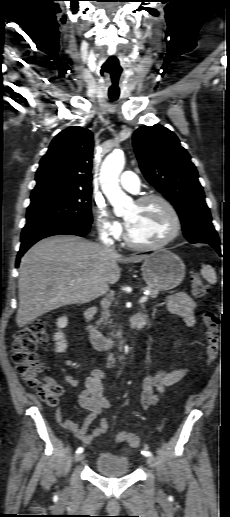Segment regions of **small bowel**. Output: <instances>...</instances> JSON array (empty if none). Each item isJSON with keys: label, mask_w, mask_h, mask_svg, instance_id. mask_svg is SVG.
<instances>
[{"label": "small bowel", "mask_w": 230, "mask_h": 517, "mask_svg": "<svg viewBox=\"0 0 230 517\" xmlns=\"http://www.w3.org/2000/svg\"><path fill=\"white\" fill-rule=\"evenodd\" d=\"M166 305L168 310L179 315L189 327L195 324L196 303L185 293H176L170 296ZM65 380L74 388L79 386V382L69 372L67 367H63ZM188 372L187 367H182L173 371L160 370L149 373L145 376L142 385L141 406L147 410L155 406L159 399L163 396L167 387L179 382ZM107 378L105 371L102 369H94L84 381V388L78 395L79 405L88 411L87 416L82 423H75L63 417L62 408L56 407L54 410V419L59 428L70 431L73 436L89 445L97 437L104 435L108 431V422L101 420L98 426L89 430L92 423L101 415L103 410L111 407V402L104 396V388L102 381ZM127 432H119L115 441L123 439L127 442L125 434ZM138 447V446H132Z\"/></svg>", "instance_id": "c3829d8e"}]
</instances>
